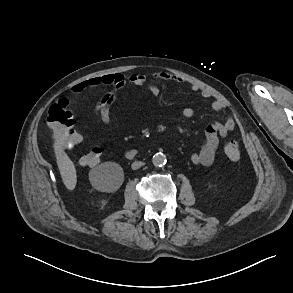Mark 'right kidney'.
Segmentation results:
<instances>
[{"mask_svg":"<svg viewBox=\"0 0 293 293\" xmlns=\"http://www.w3.org/2000/svg\"><path fill=\"white\" fill-rule=\"evenodd\" d=\"M102 184L99 186L100 190L115 191L117 190L124 179L122 167L115 162H105L101 166ZM105 201L102 204L105 205Z\"/></svg>","mask_w":293,"mask_h":293,"instance_id":"right-kidney-1","label":"right kidney"}]
</instances>
